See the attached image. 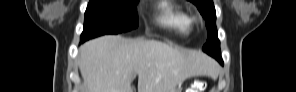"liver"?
Segmentation results:
<instances>
[{"label": "liver", "mask_w": 296, "mask_h": 92, "mask_svg": "<svg viewBox=\"0 0 296 92\" xmlns=\"http://www.w3.org/2000/svg\"><path fill=\"white\" fill-rule=\"evenodd\" d=\"M85 92H170L193 76H212L215 65L203 52L158 40L106 35L86 42L78 60Z\"/></svg>", "instance_id": "6515ba94"}]
</instances>
